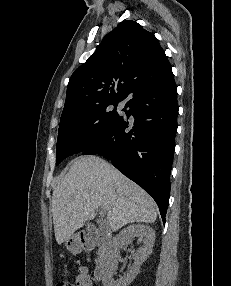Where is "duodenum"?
Returning a JSON list of instances; mask_svg holds the SVG:
<instances>
[{
    "label": "duodenum",
    "instance_id": "duodenum-1",
    "mask_svg": "<svg viewBox=\"0 0 231 286\" xmlns=\"http://www.w3.org/2000/svg\"><path fill=\"white\" fill-rule=\"evenodd\" d=\"M109 240L110 237L103 233L94 236L84 234L79 240V246L82 250H96L97 252L94 270V276L97 280H101L106 273Z\"/></svg>",
    "mask_w": 231,
    "mask_h": 286
}]
</instances>
